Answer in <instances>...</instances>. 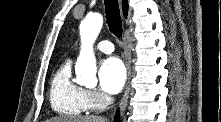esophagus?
<instances>
[{
    "mask_svg": "<svg viewBox=\"0 0 221 122\" xmlns=\"http://www.w3.org/2000/svg\"><path fill=\"white\" fill-rule=\"evenodd\" d=\"M124 42H125V37H124ZM124 53H125V63H126V68H127V79H126L125 91H124L122 99L120 100V105H119L121 111H123L127 106L129 92H130V79H131L130 53L127 47H125Z\"/></svg>",
    "mask_w": 221,
    "mask_h": 122,
    "instance_id": "1",
    "label": "esophagus"
}]
</instances>
